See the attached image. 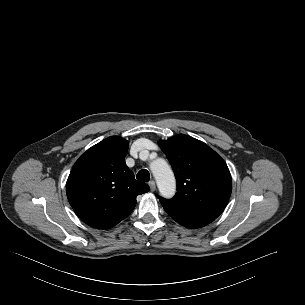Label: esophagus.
<instances>
[{"mask_svg": "<svg viewBox=\"0 0 305 305\" xmlns=\"http://www.w3.org/2000/svg\"><path fill=\"white\" fill-rule=\"evenodd\" d=\"M150 191L154 192L156 190V184L153 180L149 182Z\"/></svg>", "mask_w": 305, "mask_h": 305, "instance_id": "esophagus-1", "label": "esophagus"}]
</instances>
